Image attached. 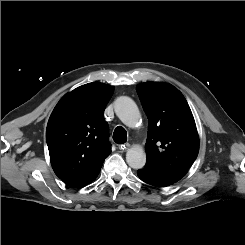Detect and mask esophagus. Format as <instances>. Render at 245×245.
Returning <instances> with one entry per match:
<instances>
[{
  "mask_svg": "<svg viewBox=\"0 0 245 245\" xmlns=\"http://www.w3.org/2000/svg\"><path fill=\"white\" fill-rule=\"evenodd\" d=\"M130 147V144L129 143H124V144H121L118 146V148L122 151H125L127 150L128 148Z\"/></svg>",
  "mask_w": 245,
  "mask_h": 245,
  "instance_id": "34e87169",
  "label": "esophagus"
}]
</instances>
